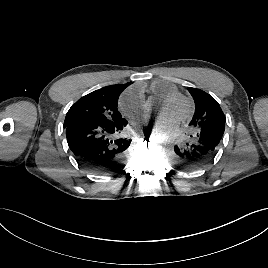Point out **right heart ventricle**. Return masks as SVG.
I'll list each match as a JSON object with an SVG mask.
<instances>
[{
    "instance_id": "1",
    "label": "right heart ventricle",
    "mask_w": 268,
    "mask_h": 268,
    "mask_svg": "<svg viewBox=\"0 0 268 268\" xmlns=\"http://www.w3.org/2000/svg\"><path fill=\"white\" fill-rule=\"evenodd\" d=\"M150 92L154 96L161 98L170 93L177 92V87L169 81L156 80L151 83Z\"/></svg>"
}]
</instances>
